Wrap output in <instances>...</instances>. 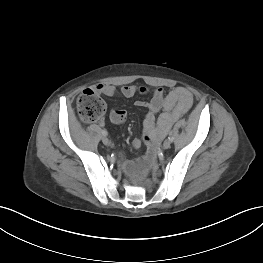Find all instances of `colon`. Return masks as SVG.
<instances>
[{
  "label": "colon",
  "mask_w": 263,
  "mask_h": 263,
  "mask_svg": "<svg viewBox=\"0 0 263 263\" xmlns=\"http://www.w3.org/2000/svg\"><path fill=\"white\" fill-rule=\"evenodd\" d=\"M77 110L84 121L95 122L104 115L106 105L97 91L86 89L77 99Z\"/></svg>",
  "instance_id": "obj_1"
}]
</instances>
